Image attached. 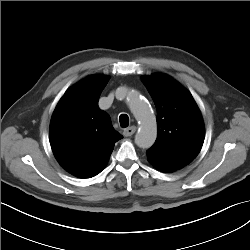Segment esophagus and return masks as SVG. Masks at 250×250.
<instances>
[{
	"label": "esophagus",
	"mask_w": 250,
	"mask_h": 250,
	"mask_svg": "<svg viewBox=\"0 0 250 250\" xmlns=\"http://www.w3.org/2000/svg\"><path fill=\"white\" fill-rule=\"evenodd\" d=\"M136 132V126H130L123 131L125 137H130Z\"/></svg>",
	"instance_id": "esophagus-1"
}]
</instances>
